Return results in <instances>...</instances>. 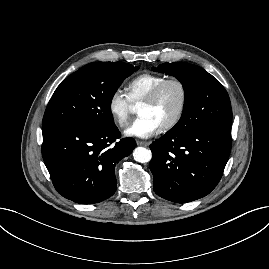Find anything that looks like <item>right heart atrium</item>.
Segmentation results:
<instances>
[{
	"instance_id": "obj_1",
	"label": "right heart atrium",
	"mask_w": 269,
	"mask_h": 269,
	"mask_svg": "<svg viewBox=\"0 0 269 269\" xmlns=\"http://www.w3.org/2000/svg\"><path fill=\"white\" fill-rule=\"evenodd\" d=\"M108 111L116 125L125 127L128 124L131 102L122 90H114L108 99Z\"/></svg>"
}]
</instances>
